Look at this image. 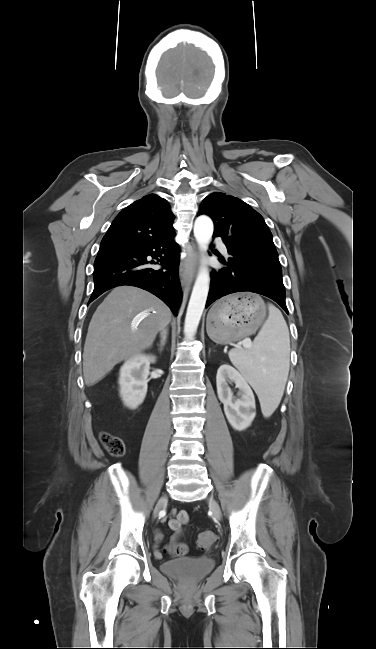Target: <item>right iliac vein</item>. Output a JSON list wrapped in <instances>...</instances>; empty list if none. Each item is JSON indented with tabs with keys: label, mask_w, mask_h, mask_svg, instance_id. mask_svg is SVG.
Masks as SVG:
<instances>
[{
	"label": "right iliac vein",
	"mask_w": 376,
	"mask_h": 649,
	"mask_svg": "<svg viewBox=\"0 0 376 649\" xmlns=\"http://www.w3.org/2000/svg\"><path fill=\"white\" fill-rule=\"evenodd\" d=\"M166 502H167V497H166V496H163V497L159 500V502L157 503V505H156L155 512H154L155 515H157V513L159 512V510L163 507V505H164Z\"/></svg>",
	"instance_id": "1"
}]
</instances>
